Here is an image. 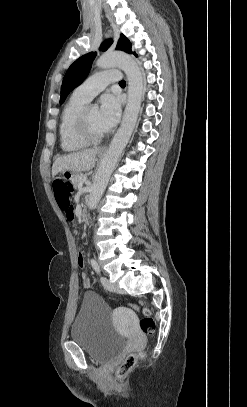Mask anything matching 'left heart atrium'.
I'll return each mask as SVG.
<instances>
[{
    "instance_id": "39dd6f15",
    "label": "left heart atrium",
    "mask_w": 247,
    "mask_h": 407,
    "mask_svg": "<svg viewBox=\"0 0 247 407\" xmlns=\"http://www.w3.org/2000/svg\"><path fill=\"white\" fill-rule=\"evenodd\" d=\"M120 111V101L117 97L106 94L101 98L99 119L107 130L111 129L117 123L120 117Z\"/></svg>"
}]
</instances>
